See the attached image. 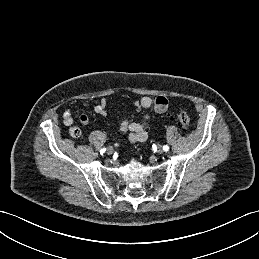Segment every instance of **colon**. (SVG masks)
Instances as JSON below:
<instances>
[{"instance_id": "colon-1", "label": "colon", "mask_w": 259, "mask_h": 259, "mask_svg": "<svg viewBox=\"0 0 259 259\" xmlns=\"http://www.w3.org/2000/svg\"><path fill=\"white\" fill-rule=\"evenodd\" d=\"M181 128H188L191 120L187 113L181 112L171 117ZM69 133L72 137L77 138L80 136V130L77 127H71Z\"/></svg>"}]
</instances>
